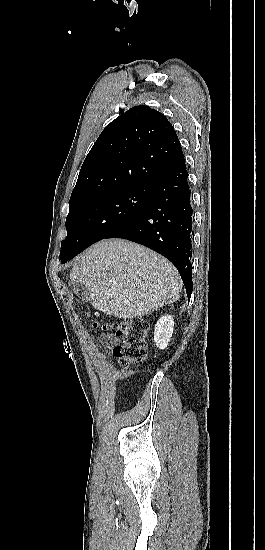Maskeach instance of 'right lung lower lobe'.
Returning a JSON list of instances; mask_svg holds the SVG:
<instances>
[{
    "label": "right lung lower lobe",
    "mask_w": 265,
    "mask_h": 550,
    "mask_svg": "<svg viewBox=\"0 0 265 550\" xmlns=\"http://www.w3.org/2000/svg\"><path fill=\"white\" fill-rule=\"evenodd\" d=\"M185 159L182 157L156 182L144 210L106 238L142 244L169 259L178 269L188 298L192 293V207Z\"/></svg>",
    "instance_id": "98d812e1"
}]
</instances>
